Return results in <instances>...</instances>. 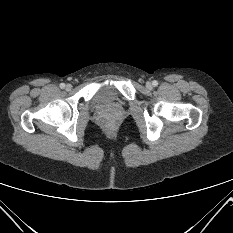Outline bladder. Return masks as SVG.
<instances>
[{
	"label": "bladder",
	"instance_id": "bladder-1",
	"mask_svg": "<svg viewBox=\"0 0 233 233\" xmlns=\"http://www.w3.org/2000/svg\"><path fill=\"white\" fill-rule=\"evenodd\" d=\"M116 89L108 84L100 85L94 93L93 102L98 106H109L115 103Z\"/></svg>",
	"mask_w": 233,
	"mask_h": 233
}]
</instances>
